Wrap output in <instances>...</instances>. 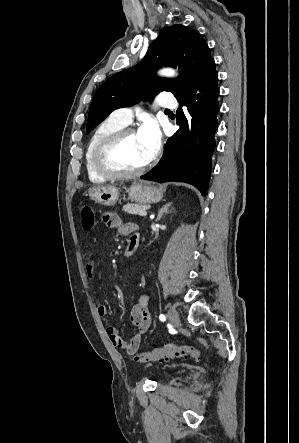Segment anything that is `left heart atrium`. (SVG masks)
<instances>
[{
  "mask_svg": "<svg viewBox=\"0 0 299 443\" xmlns=\"http://www.w3.org/2000/svg\"><path fill=\"white\" fill-rule=\"evenodd\" d=\"M138 137L144 146L147 161H150L158 152L161 142V133L157 123L147 119L138 131Z\"/></svg>",
  "mask_w": 299,
  "mask_h": 443,
  "instance_id": "39dd6f15",
  "label": "left heart atrium"
}]
</instances>
